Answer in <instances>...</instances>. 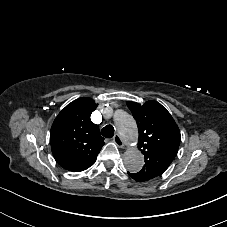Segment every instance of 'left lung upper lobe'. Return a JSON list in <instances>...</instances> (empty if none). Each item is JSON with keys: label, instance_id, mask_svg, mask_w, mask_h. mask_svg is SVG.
Segmentation results:
<instances>
[{"label": "left lung upper lobe", "instance_id": "1", "mask_svg": "<svg viewBox=\"0 0 227 227\" xmlns=\"http://www.w3.org/2000/svg\"><path fill=\"white\" fill-rule=\"evenodd\" d=\"M139 131L138 149L145 165L138 176L147 180L161 175L175 158L181 135L177 124L160 103L150 100L143 105L127 102Z\"/></svg>", "mask_w": 227, "mask_h": 227}]
</instances>
